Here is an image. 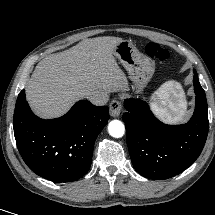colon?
<instances>
[{
  "label": "colon",
  "instance_id": "1",
  "mask_svg": "<svg viewBox=\"0 0 215 215\" xmlns=\"http://www.w3.org/2000/svg\"><path fill=\"white\" fill-rule=\"evenodd\" d=\"M145 53L149 57L154 58L160 62H164L168 60L170 57V54L166 49L162 48L160 45L153 42L146 44Z\"/></svg>",
  "mask_w": 215,
  "mask_h": 215
}]
</instances>
